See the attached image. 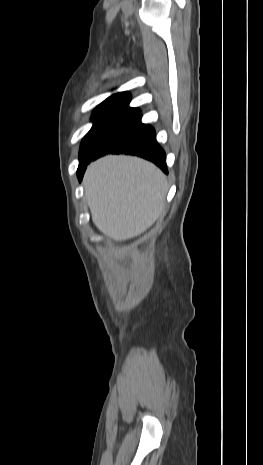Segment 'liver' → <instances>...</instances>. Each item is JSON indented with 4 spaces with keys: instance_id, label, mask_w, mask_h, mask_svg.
I'll return each mask as SVG.
<instances>
[{
    "instance_id": "liver-1",
    "label": "liver",
    "mask_w": 263,
    "mask_h": 465,
    "mask_svg": "<svg viewBox=\"0 0 263 465\" xmlns=\"http://www.w3.org/2000/svg\"><path fill=\"white\" fill-rule=\"evenodd\" d=\"M83 183L93 223L115 241L142 234L163 213L166 177L144 159L105 156L89 165Z\"/></svg>"
}]
</instances>
